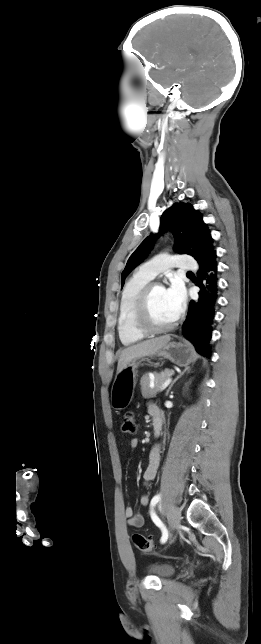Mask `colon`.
Listing matches in <instances>:
<instances>
[{
  "label": "colon",
  "mask_w": 261,
  "mask_h": 644,
  "mask_svg": "<svg viewBox=\"0 0 261 644\" xmlns=\"http://www.w3.org/2000/svg\"><path fill=\"white\" fill-rule=\"evenodd\" d=\"M137 428L136 419L132 412H127L122 418V431L126 434L135 433ZM135 547L142 552H151L154 549L153 541L141 534H134L132 536Z\"/></svg>",
  "instance_id": "colon-1"
}]
</instances>
